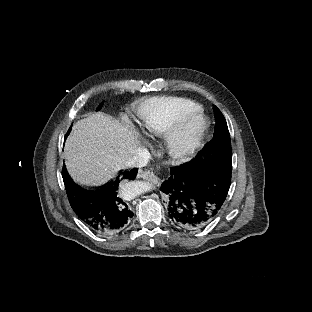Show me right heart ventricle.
I'll use <instances>...</instances> for the list:
<instances>
[{
    "label": "right heart ventricle",
    "instance_id": "e07e8e85",
    "mask_svg": "<svg viewBox=\"0 0 312 312\" xmlns=\"http://www.w3.org/2000/svg\"><path fill=\"white\" fill-rule=\"evenodd\" d=\"M199 109L194 97H167L152 95L134 110L135 124L140 129H149L165 134Z\"/></svg>",
    "mask_w": 312,
    "mask_h": 312
}]
</instances>
